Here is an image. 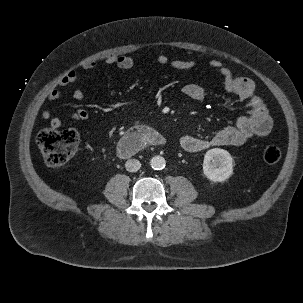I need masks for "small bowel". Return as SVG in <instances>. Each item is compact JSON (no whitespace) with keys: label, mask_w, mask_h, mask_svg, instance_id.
<instances>
[{"label":"small bowel","mask_w":303,"mask_h":303,"mask_svg":"<svg viewBox=\"0 0 303 303\" xmlns=\"http://www.w3.org/2000/svg\"><path fill=\"white\" fill-rule=\"evenodd\" d=\"M156 61L160 65L171 66L180 71H187L195 66L194 60H184L171 58L161 53ZM110 66H116L123 70H131L134 61L129 56L113 55L105 60ZM209 67L220 73L224 82L225 91L235 95L246 102L247 112L237 117L232 125L226 126L213 134L209 138H200L192 135H183L179 139L181 148L187 152H201L212 146L241 145L254 136H266L272 129V120L268 108L261 96L255 92L253 81L246 77H236L233 72L218 60H211ZM96 67L95 62L86 63L83 68L92 70ZM77 72L68 71L58 82L59 87H67L77 80ZM182 93L192 100H202L206 96L205 88L198 83H188L182 87ZM61 96L58 88L49 91L47 97L49 100H57ZM74 97L78 100L84 98L83 92L79 89L74 91ZM89 113L84 108H78L70 115L62 118L56 117L51 111L45 110L42 117L50 122L52 128H60L66 119L83 121L86 120Z\"/></svg>","instance_id":"small-bowel-1"}]
</instances>
